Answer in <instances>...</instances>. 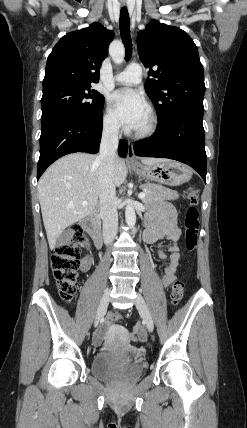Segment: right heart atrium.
Instances as JSON below:
<instances>
[{
	"instance_id": "1",
	"label": "right heart atrium",
	"mask_w": 247,
	"mask_h": 428,
	"mask_svg": "<svg viewBox=\"0 0 247 428\" xmlns=\"http://www.w3.org/2000/svg\"><path fill=\"white\" fill-rule=\"evenodd\" d=\"M103 128L104 130L112 135L118 134L120 131V123L110 107H107L105 113L103 114Z\"/></svg>"
}]
</instances>
